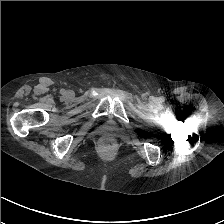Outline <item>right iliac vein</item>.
Segmentation results:
<instances>
[{
    "label": "right iliac vein",
    "instance_id": "right-iliac-vein-1",
    "mask_svg": "<svg viewBox=\"0 0 224 224\" xmlns=\"http://www.w3.org/2000/svg\"><path fill=\"white\" fill-rule=\"evenodd\" d=\"M68 96H71V94H70V93H68Z\"/></svg>",
    "mask_w": 224,
    "mask_h": 224
}]
</instances>
